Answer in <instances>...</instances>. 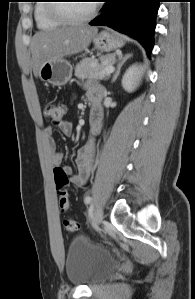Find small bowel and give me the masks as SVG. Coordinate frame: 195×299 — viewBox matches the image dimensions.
Instances as JSON below:
<instances>
[{"mask_svg": "<svg viewBox=\"0 0 195 299\" xmlns=\"http://www.w3.org/2000/svg\"><path fill=\"white\" fill-rule=\"evenodd\" d=\"M101 95L102 90L99 86H91L87 89V98L92 106V112L90 115V126L91 132L93 134L100 129V119L98 115V110ZM59 129L63 134L70 135L73 131V124L71 121H63L59 125ZM43 137L49 150L52 165L55 167L60 166L64 159V154L61 151H59L56 147L53 138L52 126H47L44 128ZM94 154V143L90 140L85 145L81 146L76 152L75 162L78 167L77 173L73 174L72 169L68 166L62 167L63 170L70 176L73 185L81 187L86 183L93 168Z\"/></svg>", "mask_w": 195, "mask_h": 299, "instance_id": "1", "label": "small bowel"}]
</instances>
